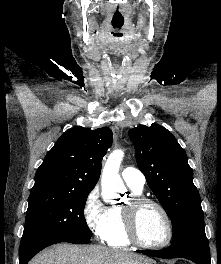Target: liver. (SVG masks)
Instances as JSON below:
<instances>
[{"label":"liver","mask_w":221,"mask_h":264,"mask_svg":"<svg viewBox=\"0 0 221 264\" xmlns=\"http://www.w3.org/2000/svg\"><path fill=\"white\" fill-rule=\"evenodd\" d=\"M144 256L100 245H56L34 257L28 264H150Z\"/></svg>","instance_id":"liver-1"}]
</instances>
